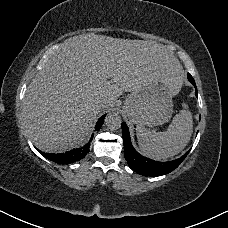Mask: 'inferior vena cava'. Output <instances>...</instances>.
<instances>
[{"mask_svg":"<svg viewBox=\"0 0 228 228\" xmlns=\"http://www.w3.org/2000/svg\"><path fill=\"white\" fill-rule=\"evenodd\" d=\"M96 107H98L99 109L102 108V105H101V103L99 101L96 102Z\"/></svg>","mask_w":228,"mask_h":228,"instance_id":"602c4592","label":"inferior vena cava"}]
</instances>
